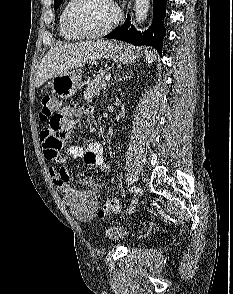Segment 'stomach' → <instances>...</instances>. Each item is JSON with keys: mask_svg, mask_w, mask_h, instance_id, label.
I'll return each instance as SVG.
<instances>
[{"mask_svg": "<svg viewBox=\"0 0 233 294\" xmlns=\"http://www.w3.org/2000/svg\"><path fill=\"white\" fill-rule=\"evenodd\" d=\"M140 56L139 50L123 43L114 44L103 58L115 63H133ZM81 70H69L53 77L50 86L61 99L75 95L83 85Z\"/></svg>", "mask_w": 233, "mask_h": 294, "instance_id": "stomach-1", "label": "stomach"}]
</instances>
